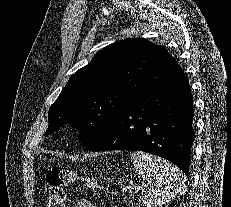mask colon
Returning <instances> with one entry per match:
<instances>
[{
    "label": "colon",
    "instance_id": "colon-1",
    "mask_svg": "<svg viewBox=\"0 0 231 207\" xmlns=\"http://www.w3.org/2000/svg\"><path fill=\"white\" fill-rule=\"evenodd\" d=\"M79 180L85 182L89 188L97 186V181L93 177L62 170L59 167L49 168L46 173L49 190L45 207H65L67 187Z\"/></svg>",
    "mask_w": 231,
    "mask_h": 207
}]
</instances>
